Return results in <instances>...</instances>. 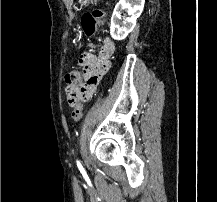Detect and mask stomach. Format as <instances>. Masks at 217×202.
<instances>
[{"label":"stomach","mask_w":217,"mask_h":202,"mask_svg":"<svg viewBox=\"0 0 217 202\" xmlns=\"http://www.w3.org/2000/svg\"><path fill=\"white\" fill-rule=\"evenodd\" d=\"M89 2H91V0H81L82 6H88Z\"/></svg>","instance_id":"1"}]
</instances>
